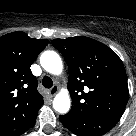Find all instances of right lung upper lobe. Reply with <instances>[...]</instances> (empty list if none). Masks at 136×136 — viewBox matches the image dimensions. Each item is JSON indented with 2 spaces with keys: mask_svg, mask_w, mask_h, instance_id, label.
I'll use <instances>...</instances> for the list:
<instances>
[{
  "mask_svg": "<svg viewBox=\"0 0 136 136\" xmlns=\"http://www.w3.org/2000/svg\"><path fill=\"white\" fill-rule=\"evenodd\" d=\"M47 44L22 32L0 37V136H20L35 123L43 96L30 66Z\"/></svg>",
  "mask_w": 136,
  "mask_h": 136,
  "instance_id": "obj_1",
  "label": "right lung upper lobe"
}]
</instances>
